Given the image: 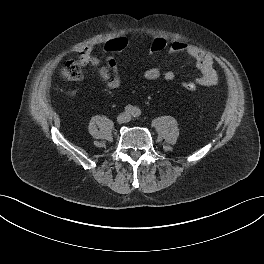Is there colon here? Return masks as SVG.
<instances>
[{
    "instance_id": "1",
    "label": "colon",
    "mask_w": 264,
    "mask_h": 264,
    "mask_svg": "<svg viewBox=\"0 0 264 264\" xmlns=\"http://www.w3.org/2000/svg\"><path fill=\"white\" fill-rule=\"evenodd\" d=\"M167 40L164 37H156L150 44L149 53L158 54L167 47ZM128 46V40L124 36H116L109 39L104 45V51L107 53H118L125 50ZM63 75L69 80H79L82 71L78 62L69 60L63 67ZM198 84L195 80H188L182 83V88L186 91H195Z\"/></svg>"
}]
</instances>
